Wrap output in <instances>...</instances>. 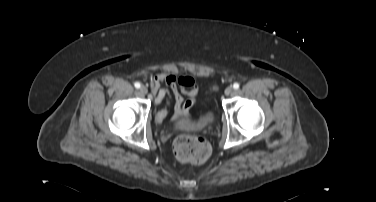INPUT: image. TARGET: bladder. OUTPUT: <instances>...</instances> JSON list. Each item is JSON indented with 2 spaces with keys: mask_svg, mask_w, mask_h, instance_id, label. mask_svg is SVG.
Here are the masks:
<instances>
[{
  "mask_svg": "<svg viewBox=\"0 0 376 202\" xmlns=\"http://www.w3.org/2000/svg\"><path fill=\"white\" fill-rule=\"evenodd\" d=\"M213 114L211 112H206L203 116H201L197 120H192V119H184L181 121L180 126L182 128H194V127H201V126H206L213 121Z\"/></svg>",
  "mask_w": 376,
  "mask_h": 202,
  "instance_id": "31cf9c89",
  "label": "bladder"
}]
</instances>
